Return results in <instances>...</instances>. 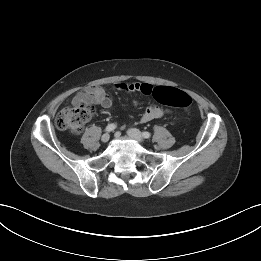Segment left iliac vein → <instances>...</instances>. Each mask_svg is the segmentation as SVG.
I'll return each instance as SVG.
<instances>
[{
    "label": "left iliac vein",
    "instance_id": "1",
    "mask_svg": "<svg viewBox=\"0 0 261 261\" xmlns=\"http://www.w3.org/2000/svg\"><path fill=\"white\" fill-rule=\"evenodd\" d=\"M127 134L138 142H143L144 138L141 132L136 128H131L127 131Z\"/></svg>",
    "mask_w": 261,
    "mask_h": 261
}]
</instances>
